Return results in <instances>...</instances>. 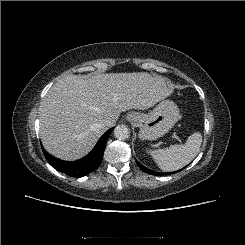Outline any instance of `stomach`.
<instances>
[{
  "instance_id": "obj_1",
  "label": "stomach",
  "mask_w": 245,
  "mask_h": 245,
  "mask_svg": "<svg viewBox=\"0 0 245 245\" xmlns=\"http://www.w3.org/2000/svg\"><path fill=\"white\" fill-rule=\"evenodd\" d=\"M134 124L139 127L141 140H156L169 132L180 118L178 106L171 100H162L147 114L134 113Z\"/></svg>"
}]
</instances>
